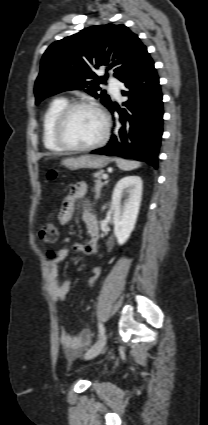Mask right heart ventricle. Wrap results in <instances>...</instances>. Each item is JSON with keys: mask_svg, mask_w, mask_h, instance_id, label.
I'll use <instances>...</instances> for the list:
<instances>
[{"mask_svg": "<svg viewBox=\"0 0 208 425\" xmlns=\"http://www.w3.org/2000/svg\"><path fill=\"white\" fill-rule=\"evenodd\" d=\"M68 104V100L64 97L55 98L50 102L42 119V139L46 149L55 152L64 151L54 140L53 132L57 116L62 109Z\"/></svg>", "mask_w": 208, "mask_h": 425, "instance_id": "e07e8e85", "label": "right heart ventricle"}]
</instances>
